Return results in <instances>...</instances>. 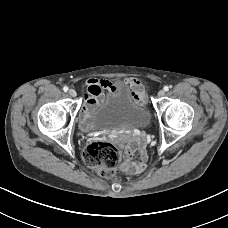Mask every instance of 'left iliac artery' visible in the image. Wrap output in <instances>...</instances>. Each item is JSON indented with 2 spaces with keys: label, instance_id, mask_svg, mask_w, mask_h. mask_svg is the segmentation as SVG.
<instances>
[{
  "label": "left iliac artery",
  "instance_id": "obj_1",
  "mask_svg": "<svg viewBox=\"0 0 228 228\" xmlns=\"http://www.w3.org/2000/svg\"><path fill=\"white\" fill-rule=\"evenodd\" d=\"M164 90L165 91H168L169 90V87L168 86H164Z\"/></svg>",
  "mask_w": 228,
  "mask_h": 228
}]
</instances>
